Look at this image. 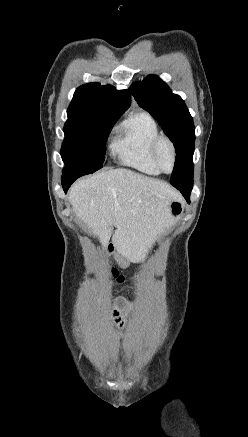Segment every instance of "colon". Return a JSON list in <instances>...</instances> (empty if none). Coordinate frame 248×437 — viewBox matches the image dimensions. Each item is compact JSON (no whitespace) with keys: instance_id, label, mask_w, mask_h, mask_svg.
<instances>
[{"instance_id":"obj_1","label":"colon","mask_w":248,"mask_h":437,"mask_svg":"<svg viewBox=\"0 0 248 437\" xmlns=\"http://www.w3.org/2000/svg\"><path fill=\"white\" fill-rule=\"evenodd\" d=\"M114 277H115V279H116V281H117L118 283H122L123 280H124L122 276H119V275L116 274V273H114Z\"/></svg>"}]
</instances>
